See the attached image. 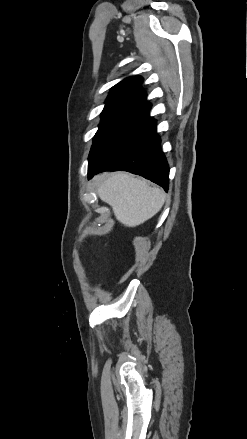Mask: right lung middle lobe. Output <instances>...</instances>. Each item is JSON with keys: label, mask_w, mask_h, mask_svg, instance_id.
Instances as JSON below:
<instances>
[{"label": "right lung middle lobe", "mask_w": 247, "mask_h": 439, "mask_svg": "<svg viewBox=\"0 0 247 439\" xmlns=\"http://www.w3.org/2000/svg\"><path fill=\"white\" fill-rule=\"evenodd\" d=\"M151 120L148 112L120 105H106L88 157L89 166L99 164L113 150L141 131Z\"/></svg>", "instance_id": "right-lung-middle-lobe-1"}]
</instances>
